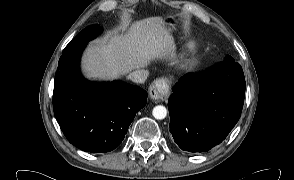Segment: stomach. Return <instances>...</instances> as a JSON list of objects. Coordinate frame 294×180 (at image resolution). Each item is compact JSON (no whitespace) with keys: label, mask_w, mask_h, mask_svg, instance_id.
Wrapping results in <instances>:
<instances>
[{"label":"stomach","mask_w":294,"mask_h":180,"mask_svg":"<svg viewBox=\"0 0 294 180\" xmlns=\"http://www.w3.org/2000/svg\"><path fill=\"white\" fill-rule=\"evenodd\" d=\"M181 21V16L179 15H168L164 18L166 28L171 31L177 24Z\"/></svg>","instance_id":"stomach-1"}]
</instances>
